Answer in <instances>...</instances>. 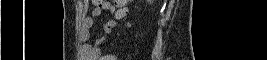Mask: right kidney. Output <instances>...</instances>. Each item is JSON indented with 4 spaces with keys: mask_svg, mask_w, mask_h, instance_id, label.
<instances>
[{
    "mask_svg": "<svg viewBox=\"0 0 267 60\" xmlns=\"http://www.w3.org/2000/svg\"><path fill=\"white\" fill-rule=\"evenodd\" d=\"M147 2H149L151 4V3H153V0H147Z\"/></svg>",
    "mask_w": 267,
    "mask_h": 60,
    "instance_id": "right-kidney-1",
    "label": "right kidney"
}]
</instances>
